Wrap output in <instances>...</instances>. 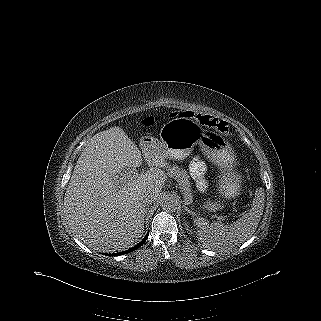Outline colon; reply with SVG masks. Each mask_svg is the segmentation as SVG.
I'll list each match as a JSON object with an SVG mask.
<instances>
[{"instance_id":"5ec220e1","label":"colon","mask_w":321,"mask_h":321,"mask_svg":"<svg viewBox=\"0 0 321 321\" xmlns=\"http://www.w3.org/2000/svg\"><path fill=\"white\" fill-rule=\"evenodd\" d=\"M178 116L181 117H191L194 118L199 124L211 128L219 133H221L222 135L228 136L230 135V126L228 124V122L223 121V120H219L217 118H214L210 115H206V114H196L194 112H180V113H176Z\"/></svg>"}]
</instances>
